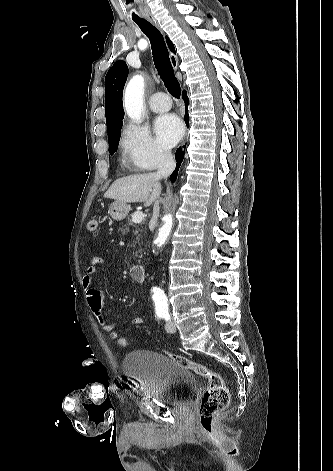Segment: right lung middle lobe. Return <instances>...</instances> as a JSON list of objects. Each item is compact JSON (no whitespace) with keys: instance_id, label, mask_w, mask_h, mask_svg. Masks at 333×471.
Returning <instances> with one entry per match:
<instances>
[{"instance_id":"right-lung-middle-lobe-1","label":"right lung middle lobe","mask_w":333,"mask_h":471,"mask_svg":"<svg viewBox=\"0 0 333 471\" xmlns=\"http://www.w3.org/2000/svg\"><path fill=\"white\" fill-rule=\"evenodd\" d=\"M122 127V123L115 126L113 129L108 131V140H109V152L112 155L115 151H117V147L119 144L120 139V129Z\"/></svg>"}]
</instances>
